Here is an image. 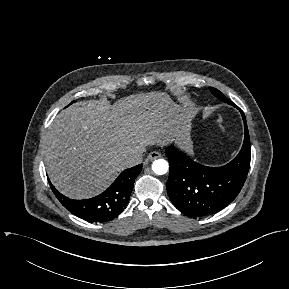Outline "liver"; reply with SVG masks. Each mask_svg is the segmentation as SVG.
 I'll list each match as a JSON object with an SVG mask.
<instances>
[{"mask_svg": "<svg viewBox=\"0 0 289 289\" xmlns=\"http://www.w3.org/2000/svg\"><path fill=\"white\" fill-rule=\"evenodd\" d=\"M180 109L164 92L132 95L114 105L74 104L63 110L43 139L48 176L72 199L103 192L127 168L125 158L147 145L186 144Z\"/></svg>", "mask_w": 289, "mask_h": 289, "instance_id": "liver-1", "label": "liver"}]
</instances>
